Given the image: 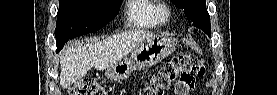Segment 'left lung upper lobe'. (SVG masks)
I'll list each match as a JSON object with an SVG mask.
<instances>
[{
  "label": "left lung upper lobe",
  "instance_id": "5c2ea615",
  "mask_svg": "<svg viewBox=\"0 0 277 95\" xmlns=\"http://www.w3.org/2000/svg\"><path fill=\"white\" fill-rule=\"evenodd\" d=\"M178 8L184 11L185 16L191 19L194 25L211 35L210 16L206 9L205 0H171Z\"/></svg>",
  "mask_w": 277,
  "mask_h": 95
}]
</instances>
